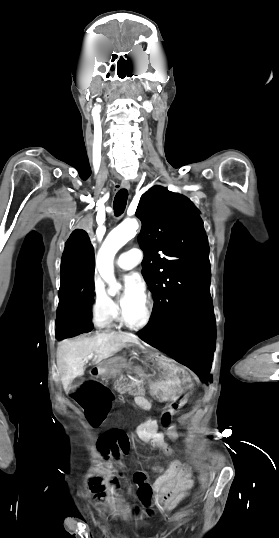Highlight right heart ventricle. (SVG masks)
<instances>
[{
	"instance_id": "1",
	"label": "right heart ventricle",
	"mask_w": 279,
	"mask_h": 538,
	"mask_svg": "<svg viewBox=\"0 0 279 538\" xmlns=\"http://www.w3.org/2000/svg\"><path fill=\"white\" fill-rule=\"evenodd\" d=\"M136 222L137 219L135 216V212L128 209L123 215L118 226L113 230L112 234H115L117 236L125 234L131 235L134 232Z\"/></svg>"
}]
</instances>
